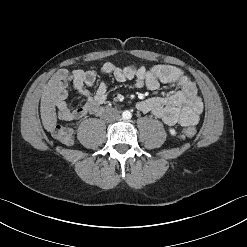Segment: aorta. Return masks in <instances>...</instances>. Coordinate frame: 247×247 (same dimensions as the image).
<instances>
[{
	"instance_id": "obj_1",
	"label": "aorta",
	"mask_w": 247,
	"mask_h": 247,
	"mask_svg": "<svg viewBox=\"0 0 247 247\" xmlns=\"http://www.w3.org/2000/svg\"><path fill=\"white\" fill-rule=\"evenodd\" d=\"M131 117H132V114H131L130 111H128V110H126V111H124V112L122 113V118H123L124 120H129V119H131Z\"/></svg>"
}]
</instances>
